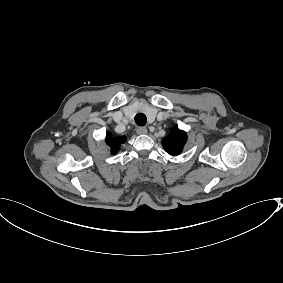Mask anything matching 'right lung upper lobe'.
Segmentation results:
<instances>
[{"instance_id": "obj_1", "label": "right lung upper lobe", "mask_w": 283, "mask_h": 283, "mask_svg": "<svg viewBox=\"0 0 283 283\" xmlns=\"http://www.w3.org/2000/svg\"><path fill=\"white\" fill-rule=\"evenodd\" d=\"M106 141L108 145L112 148V153L114 154L119 149L120 145L126 141V137L121 136L113 138L110 134H108Z\"/></svg>"}]
</instances>
